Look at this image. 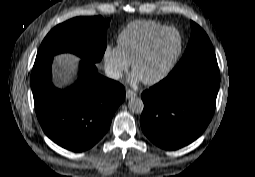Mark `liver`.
Masks as SVG:
<instances>
[{"mask_svg":"<svg viewBox=\"0 0 255 177\" xmlns=\"http://www.w3.org/2000/svg\"><path fill=\"white\" fill-rule=\"evenodd\" d=\"M80 58L69 53L55 57L53 82L56 87L64 88L74 82L78 72Z\"/></svg>","mask_w":255,"mask_h":177,"instance_id":"1","label":"liver"}]
</instances>
